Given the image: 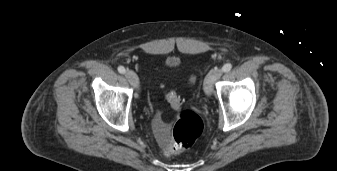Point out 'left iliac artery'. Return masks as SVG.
<instances>
[{
  "label": "left iliac artery",
  "mask_w": 337,
  "mask_h": 171,
  "mask_svg": "<svg viewBox=\"0 0 337 171\" xmlns=\"http://www.w3.org/2000/svg\"><path fill=\"white\" fill-rule=\"evenodd\" d=\"M232 69V64L231 63H227L222 67V71L223 72H229Z\"/></svg>",
  "instance_id": "obj_1"
}]
</instances>
